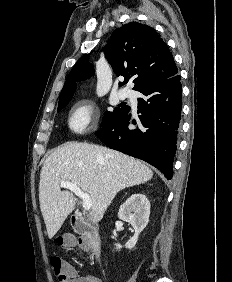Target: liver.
<instances>
[{
	"label": "liver",
	"mask_w": 232,
	"mask_h": 282,
	"mask_svg": "<svg viewBox=\"0 0 232 282\" xmlns=\"http://www.w3.org/2000/svg\"><path fill=\"white\" fill-rule=\"evenodd\" d=\"M152 177L143 162L103 146L71 142L57 148L44 161L39 182L48 237H54L76 203L71 192L60 190L61 182H72L90 195L92 215L99 221L119 191Z\"/></svg>",
	"instance_id": "obj_1"
}]
</instances>
